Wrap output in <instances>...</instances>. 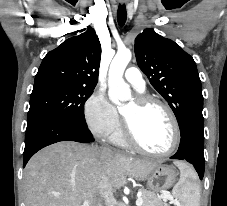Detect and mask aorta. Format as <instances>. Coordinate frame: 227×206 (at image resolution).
I'll return each instance as SVG.
<instances>
[{"instance_id": "762f6f07", "label": "aorta", "mask_w": 227, "mask_h": 206, "mask_svg": "<svg viewBox=\"0 0 227 206\" xmlns=\"http://www.w3.org/2000/svg\"><path fill=\"white\" fill-rule=\"evenodd\" d=\"M132 58L129 49L119 50L111 62L108 73V96L111 102L119 105L120 102L131 98V91L123 79L124 71Z\"/></svg>"}]
</instances>
